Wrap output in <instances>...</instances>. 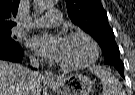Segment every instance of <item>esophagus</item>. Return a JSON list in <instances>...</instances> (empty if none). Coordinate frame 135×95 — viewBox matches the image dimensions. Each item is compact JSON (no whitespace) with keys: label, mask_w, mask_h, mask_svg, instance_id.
Segmentation results:
<instances>
[{"label":"esophagus","mask_w":135,"mask_h":95,"mask_svg":"<svg viewBox=\"0 0 135 95\" xmlns=\"http://www.w3.org/2000/svg\"><path fill=\"white\" fill-rule=\"evenodd\" d=\"M44 79L47 81V82H50V83H53V82H57L58 79H57V76L50 70H46L45 73H44Z\"/></svg>","instance_id":"esophagus-1"}]
</instances>
